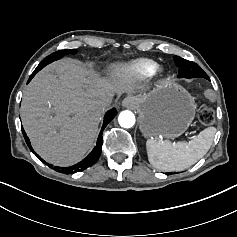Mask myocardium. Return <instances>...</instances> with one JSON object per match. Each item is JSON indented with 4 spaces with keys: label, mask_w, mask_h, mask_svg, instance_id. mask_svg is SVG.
I'll use <instances>...</instances> for the list:
<instances>
[{
    "label": "myocardium",
    "mask_w": 237,
    "mask_h": 237,
    "mask_svg": "<svg viewBox=\"0 0 237 237\" xmlns=\"http://www.w3.org/2000/svg\"><path fill=\"white\" fill-rule=\"evenodd\" d=\"M162 72H163V71H162L160 68H158V69L156 70V73H157V74L162 75Z\"/></svg>",
    "instance_id": "f54148a6"
}]
</instances>
